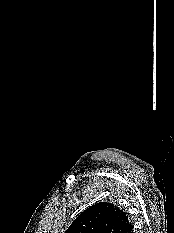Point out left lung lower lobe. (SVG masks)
Wrapping results in <instances>:
<instances>
[{"instance_id":"left-lung-lower-lobe-1","label":"left lung lower lobe","mask_w":174,"mask_h":233,"mask_svg":"<svg viewBox=\"0 0 174 233\" xmlns=\"http://www.w3.org/2000/svg\"><path fill=\"white\" fill-rule=\"evenodd\" d=\"M123 233H134V228L132 225H130L126 230L123 231Z\"/></svg>"}]
</instances>
